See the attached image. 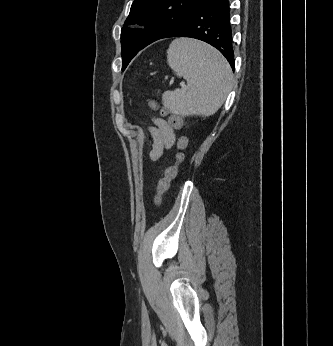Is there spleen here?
<instances>
[{
    "instance_id": "obj_1",
    "label": "spleen",
    "mask_w": 333,
    "mask_h": 346,
    "mask_svg": "<svg viewBox=\"0 0 333 346\" xmlns=\"http://www.w3.org/2000/svg\"><path fill=\"white\" fill-rule=\"evenodd\" d=\"M167 62L177 76L187 81L185 90L163 94L162 102L173 114L212 115L232 90L233 74L229 63L206 43L175 39L167 50Z\"/></svg>"
}]
</instances>
